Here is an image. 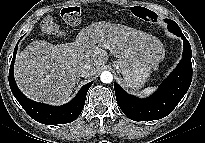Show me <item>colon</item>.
<instances>
[{"label": "colon", "instance_id": "1", "mask_svg": "<svg viewBox=\"0 0 205 143\" xmlns=\"http://www.w3.org/2000/svg\"><path fill=\"white\" fill-rule=\"evenodd\" d=\"M131 13L144 21L156 22L158 15L142 6H135L131 8ZM61 18L65 23L71 26H76L81 22V9L78 6H67L64 7L60 12ZM41 30L49 35L63 36V31L59 28L56 19L53 16L45 17L41 22Z\"/></svg>", "mask_w": 205, "mask_h": 143}]
</instances>
